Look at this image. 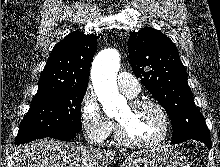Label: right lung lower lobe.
Instances as JSON below:
<instances>
[{
	"label": "right lung lower lobe",
	"instance_id": "1",
	"mask_svg": "<svg viewBox=\"0 0 220 167\" xmlns=\"http://www.w3.org/2000/svg\"><path fill=\"white\" fill-rule=\"evenodd\" d=\"M76 136V133H67V134H61V135H56V136H43V137H39L37 139H41L44 137H51V138H55L58 140H71L74 139Z\"/></svg>",
	"mask_w": 220,
	"mask_h": 167
}]
</instances>
